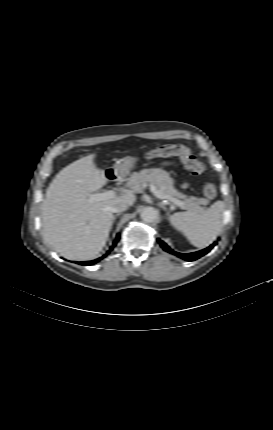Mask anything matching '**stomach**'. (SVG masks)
Masks as SVG:
<instances>
[{"mask_svg":"<svg viewBox=\"0 0 273 430\" xmlns=\"http://www.w3.org/2000/svg\"><path fill=\"white\" fill-rule=\"evenodd\" d=\"M134 163H135V158L125 157L119 163L117 162L114 165V172L121 176H126L129 173Z\"/></svg>","mask_w":273,"mask_h":430,"instance_id":"1","label":"stomach"}]
</instances>
